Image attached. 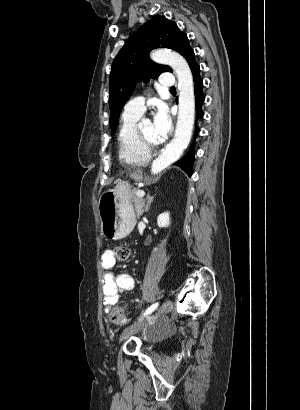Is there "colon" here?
<instances>
[{
	"label": "colon",
	"mask_w": 300,
	"mask_h": 410,
	"mask_svg": "<svg viewBox=\"0 0 300 410\" xmlns=\"http://www.w3.org/2000/svg\"><path fill=\"white\" fill-rule=\"evenodd\" d=\"M112 253L116 260L125 261L129 257V248L125 245L115 246ZM109 319L115 324H124L126 322V315L121 308H113L109 311Z\"/></svg>",
	"instance_id": "1"
}]
</instances>
